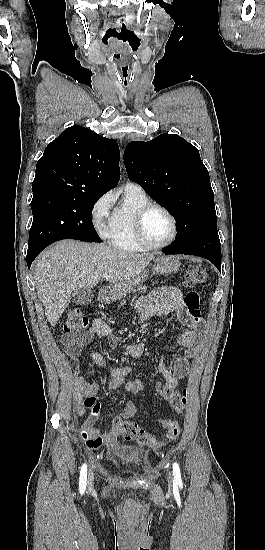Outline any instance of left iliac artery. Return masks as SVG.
Returning <instances> with one entry per match:
<instances>
[{
	"mask_svg": "<svg viewBox=\"0 0 265 550\" xmlns=\"http://www.w3.org/2000/svg\"><path fill=\"white\" fill-rule=\"evenodd\" d=\"M173 476H174V483L177 485H182L181 472H180L179 465L177 463L173 464Z\"/></svg>",
	"mask_w": 265,
	"mask_h": 550,
	"instance_id": "1",
	"label": "left iliac artery"
}]
</instances>
